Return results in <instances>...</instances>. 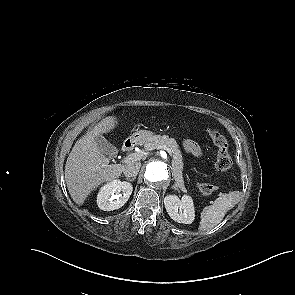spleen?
Listing matches in <instances>:
<instances>
[{
	"label": "spleen",
	"mask_w": 295,
	"mask_h": 295,
	"mask_svg": "<svg viewBox=\"0 0 295 295\" xmlns=\"http://www.w3.org/2000/svg\"><path fill=\"white\" fill-rule=\"evenodd\" d=\"M241 198V192L233 191L220 195L212 205L206 206L201 212L200 231H206L219 224L228 210L232 209Z\"/></svg>",
	"instance_id": "spleen-1"
}]
</instances>
